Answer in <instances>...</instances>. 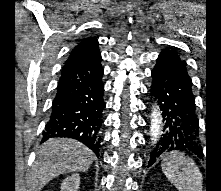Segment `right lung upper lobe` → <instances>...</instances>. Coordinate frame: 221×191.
<instances>
[{
    "instance_id": "right-lung-upper-lobe-1",
    "label": "right lung upper lobe",
    "mask_w": 221,
    "mask_h": 191,
    "mask_svg": "<svg viewBox=\"0 0 221 191\" xmlns=\"http://www.w3.org/2000/svg\"><path fill=\"white\" fill-rule=\"evenodd\" d=\"M99 53L100 51L97 40L95 38H86L72 50L66 64L77 59L89 57Z\"/></svg>"
}]
</instances>
